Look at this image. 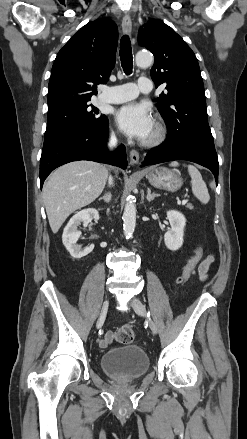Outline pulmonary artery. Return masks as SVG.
Returning <instances> with one entry per match:
<instances>
[{
    "label": "pulmonary artery",
    "mask_w": 247,
    "mask_h": 439,
    "mask_svg": "<svg viewBox=\"0 0 247 439\" xmlns=\"http://www.w3.org/2000/svg\"><path fill=\"white\" fill-rule=\"evenodd\" d=\"M151 90L152 81L149 78L140 77L137 84L126 83L106 88L101 96V101L114 104L123 103L136 98L139 93H149Z\"/></svg>",
    "instance_id": "e3ab8cb5"
}]
</instances>
